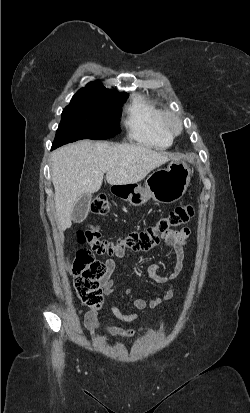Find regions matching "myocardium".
I'll list each match as a JSON object with an SVG mask.
<instances>
[{
	"label": "myocardium",
	"mask_w": 250,
	"mask_h": 413,
	"mask_svg": "<svg viewBox=\"0 0 250 413\" xmlns=\"http://www.w3.org/2000/svg\"><path fill=\"white\" fill-rule=\"evenodd\" d=\"M161 127L167 135L175 137L182 132V119L173 111H163L161 116Z\"/></svg>",
	"instance_id": "myocardium-1"
}]
</instances>
